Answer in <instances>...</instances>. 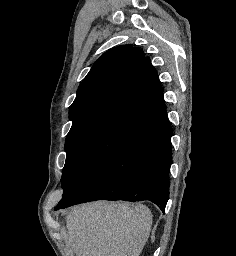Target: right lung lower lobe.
<instances>
[{
  "label": "right lung lower lobe",
  "instance_id": "right-lung-lower-lobe-1",
  "mask_svg": "<svg viewBox=\"0 0 236 256\" xmlns=\"http://www.w3.org/2000/svg\"><path fill=\"white\" fill-rule=\"evenodd\" d=\"M170 122L164 118L118 149L56 210L94 200H149L165 211L172 163Z\"/></svg>",
  "mask_w": 236,
  "mask_h": 256
}]
</instances>
